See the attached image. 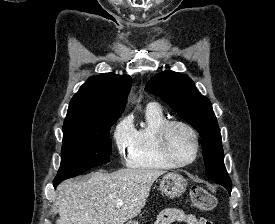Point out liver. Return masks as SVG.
Returning <instances> with one entry per match:
<instances>
[{
    "label": "liver",
    "mask_w": 275,
    "mask_h": 224,
    "mask_svg": "<svg viewBox=\"0 0 275 224\" xmlns=\"http://www.w3.org/2000/svg\"><path fill=\"white\" fill-rule=\"evenodd\" d=\"M157 169H120L95 172L87 180H66L57 187L56 224H124L146 204ZM124 204L117 207V201Z\"/></svg>",
    "instance_id": "6515ba94"
}]
</instances>
